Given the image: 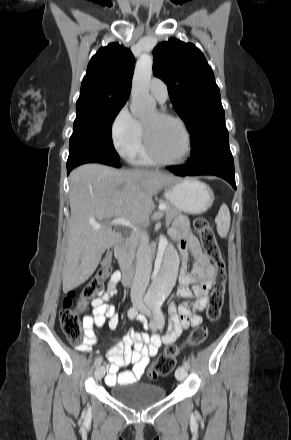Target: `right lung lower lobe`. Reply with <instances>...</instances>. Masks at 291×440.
Wrapping results in <instances>:
<instances>
[{
  "mask_svg": "<svg viewBox=\"0 0 291 440\" xmlns=\"http://www.w3.org/2000/svg\"><path fill=\"white\" fill-rule=\"evenodd\" d=\"M84 163H101L114 167H120L119 160L100 152L76 150L69 153L67 160V174L75 167Z\"/></svg>",
  "mask_w": 291,
  "mask_h": 440,
  "instance_id": "1",
  "label": "right lung lower lobe"
}]
</instances>
